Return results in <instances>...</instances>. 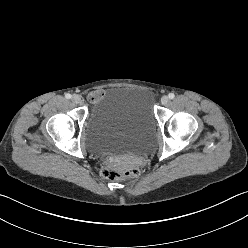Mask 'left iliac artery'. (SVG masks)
<instances>
[{"instance_id": "44dca946", "label": "left iliac artery", "mask_w": 248, "mask_h": 248, "mask_svg": "<svg viewBox=\"0 0 248 248\" xmlns=\"http://www.w3.org/2000/svg\"><path fill=\"white\" fill-rule=\"evenodd\" d=\"M168 97H169L170 99H174L175 94H174V93H169Z\"/></svg>"}]
</instances>
